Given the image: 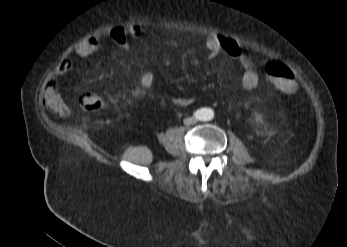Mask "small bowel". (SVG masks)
Segmentation results:
<instances>
[{
  "mask_svg": "<svg viewBox=\"0 0 347 247\" xmlns=\"http://www.w3.org/2000/svg\"><path fill=\"white\" fill-rule=\"evenodd\" d=\"M144 33L145 27L140 24L130 25L127 29L121 26H114L108 29L103 37H92L87 41L78 43L75 46V53L80 57H87L102 50L104 46V37L108 38L114 44L126 48L130 39L136 41L141 40ZM174 43L173 40L169 41L170 45ZM205 47L211 59H217L220 56H228L244 67L245 71L240 78V84L244 90L250 91L257 87L259 78L254 70L253 60L243 51L235 40L225 36H211L205 40ZM70 69L71 62L69 60H64L58 67L57 76L68 73ZM156 85V75L152 72H146L141 76L140 84L134 88V91H152ZM45 97L47 108L53 114L63 117L69 113L68 108L59 99L57 88L53 81L46 86ZM173 102L178 107H187L193 103V98L189 96L177 97Z\"/></svg>",
  "mask_w": 347,
  "mask_h": 247,
  "instance_id": "c3829d8e",
  "label": "small bowel"
}]
</instances>
